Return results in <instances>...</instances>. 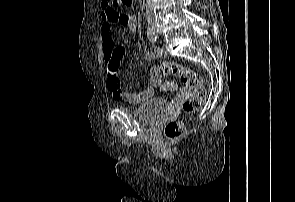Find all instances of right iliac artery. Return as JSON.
<instances>
[{
	"label": "right iliac artery",
	"mask_w": 295,
	"mask_h": 202,
	"mask_svg": "<svg viewBox=\"0 0 295 202\" xmlns=\"http://www.w3.org/2000/svg\"><path fill=\"white\" fill-rule=\"evenodd\" d=\"M147 36H148V39L150 42H152V43L156 42L157 37L150 27H148V29H147Z\"/></svg>",
	"instance_id": "82829eb1"
}]
</instances>
